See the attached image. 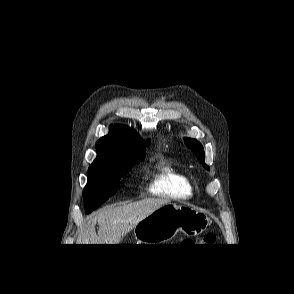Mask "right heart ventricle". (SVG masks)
Returning <instances> with one entry per match:
<instances>
[{"mask_svg": "<svg viewBox=\"0 0 294 294\" xmlns=\"http://www.w3.org/2000/svg\"><path fill=\"white\" fill-rule=\"evenodd\" d=\"M146 191L164 197H183L192 192L189 177L177 169L170 161H161L156 172L146 185Z\"/></svg>", "mask_w": 294, "mask_h": 294, "instance_id": "1", "label": "right heart ventricle"}]
</instances>
